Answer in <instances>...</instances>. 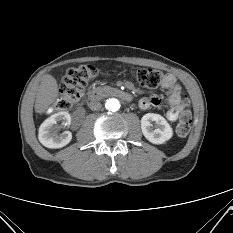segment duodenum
Segmentation results:
<instances>
[{"label": "duodenum", "mask_w": 233, "mask_h": 233, "mask_svg": "<svg viewBox=\"0 0 233 233\" xmlns=\"http://www.w3.org/2000/svg\"><path fill=\"white\" fill-rule=\"evenodd\" d=\"M106 96H114L127 102H130L132 100V95L130 93L116 88L90 90L87 94V100L94 101Z\"/></svg>", "instance_id": "1"}]
</instances>
